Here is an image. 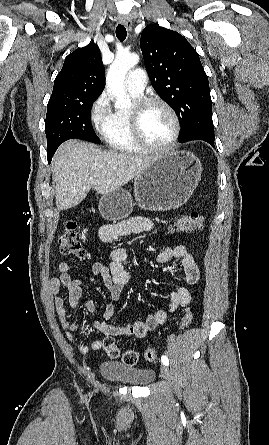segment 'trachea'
I'll return each mask as SVG.
<instances>
[{"label": "trachea", "mask_w": 269, "mask_h": 445, "mask_svg": "<svg viewBox=\"0 0 269 445\" xmlns=\"http://www.w3.org/2000/svg\"><path fill=\"white\" fill-rule=\"evenodd\" d=\"M116 36L117 38L123 42L126 39L127 31L124 25L119 24L116 28Z\"/></svg>", "instance_id": "trachea-1"}]
</instances>
